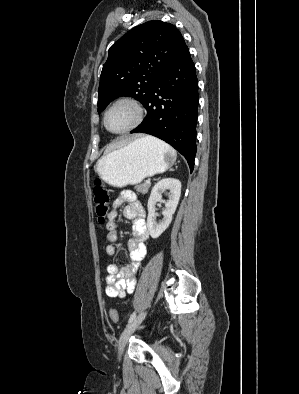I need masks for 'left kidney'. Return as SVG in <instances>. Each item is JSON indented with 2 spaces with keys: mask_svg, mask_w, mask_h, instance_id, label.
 I'll return each mask as SVG.
<instances>
[{
  "mask_svg": "<svg viewBox=\"0 0 299 394\" xmlns=\"http://www.w3.org/2000/svg\"><path fill=\"white\" fill-rule=\"evenodd\" d=\"M170 191L169 200L165 203V210L163 211V220L158 224L156 222L155 205L157 202H162V192ZM181 194V182L178 179L166 178L160 180L154 185L151 195L148 199V217L147 227L152 238H158L170 225L172 216L176 211Z\"/></svg>",
  "mask_w": 299,
  "mask_h": 394,
  "instance_id": "1",
  "label": "left kidney"
}]
</instances>
